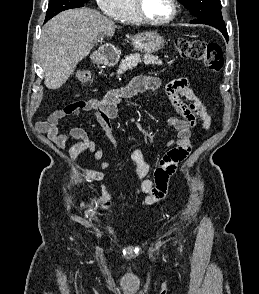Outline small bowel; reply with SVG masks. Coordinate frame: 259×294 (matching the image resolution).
<instances>
[{
  "label": "small bowel",
  "mask_w": 259,
  "mask_h": 294,
  "mask_svg": "<svg viewBox=\"0 0 259 294\" xmlns=\"http://www.w3.org/2000/svg\"><path fill=\"white\" fill-rule=\"evenodd\" d=\"M161 88L162 84L158 78L137 76L127 86L109 91L102 99L75 101L63 109L54 111L46 119L37 121L36 129L46 134L49 140L60 149H63L69 142H74L70 151L71 159H75L81 152L88 151L95 161H100L104 153L103 148L98 147L96 141L82 128L75 127L61 132L59 129L61 121L84 112H93L105 137L113 139L114 128L111 125V120L118 117L122 102L137 93L148 90L157 91ZM164 91L174 111L179 115H170L168 118V124L176 131L177 138L169 141L167 145H177V147L162 156L154 171L153 181L146 178L150 171V165L141 150L136 148L130 154L135 164V175L138 179H142L140 191L145 194L142 204L146 206L157 203L164 198L171 175L175 172L178 164L190 154L191 128L200 123L204 130H208L211 125V117L205 105L195 94L187 79L181 78L171 81L164 87ZM183 99L187 100V103H184ZM109 167V161L101 163L102 170ZM80 175L94 181L105 179L103 171L83 169L80 171ZM80 206L84 207L85 203L81 202ZM97 206L101 210L112 206L111 195L104 185L101 187ZM86 216L91 220L97 219V215L93 211H87Z\"/></svg>",
  "instance_id": "1"
}]
</instances>
